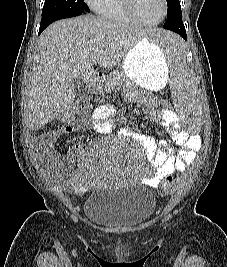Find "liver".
Returning a JSON list of instances; mask_svg holds the SVG:
<instances>
[{
	"instance_id": "obj_1",
	"label": "liver",
	"mask_w": 227,
	"mask_h": 267,
	"mask_svg": "<svg viewBox=\"0 0 227 267\" xmlns=\"http://www.w3.org/2000/svg\"><path fill=\"white\" fill-rule=\"evenodd\" d=\"M153 33L169 32L92 15L50 25L39 39L40 63L29 87V128L36 131L70 108L76 98V80L87 82L92 78L95 60L101 67L112 69L137 42Z\"/></svg>"
}]
</instances>
